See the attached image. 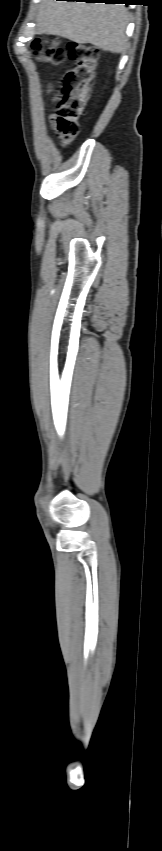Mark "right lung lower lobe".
Returning <instances> with one entry per match:
<instances>
[{
  "label": "right lung lower lobe",
  "mask_w": 162,
  "mask_h": 851,
  "mask_svg": "<svg viewBox=\"0 0 162 851\" xmlns=\"http://www.w3.org/2000/svg\"><path fill=\"white\" fill-rule=\"evenodd\" d=\"M67 1H85V2H95V3L103 2V3H106V4L123 3L125 5H128L129 2H131L132 0H67Z\"/></svg>",
  "instance_id": "obj_1"
}]
</instances>
